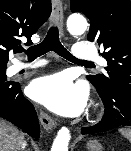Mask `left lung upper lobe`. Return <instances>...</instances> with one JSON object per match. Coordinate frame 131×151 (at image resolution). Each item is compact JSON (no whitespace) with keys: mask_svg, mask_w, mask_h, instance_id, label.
I'll use <instances>...</instances> for the list:
<instances>
[{"mask_svg":"<svg viewBox=\"0 0 131 151\" xmlns=\"http://www.w3.org/2000/svg\"><path fill=\"white\" fill-rule=\"evenodd\" d=\"M71 11L90 20L89 41L104 49L107 73L88 75L98 93L131 97V1L71 0Z\"/></svg>","mask_w":131,"mask_h":151,"instance_id":"left-lung-upper-lobe-1","label":"left lung upper lobe"}]
</instances>
